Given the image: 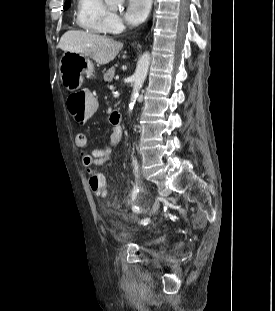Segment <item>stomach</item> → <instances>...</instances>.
Segmentation results:
<instances>
[{
    "label": "stomach",
    "instance_id": "obj_1",
    "mask_svg": "<svg viewBox=\"0 0 275 311\" xmlns=\"http://www.w3.org/2000/svg\"><path fill=\"white\" fill-rule=\"evenodd\" d=\"M61 82L69 91H75L83 83L84 75L94 72L93 62L84 54L66 51L59 62Z\"/></svg>",
    "mask_w": 275,
    "mask_h": 311
}]
</instances>
